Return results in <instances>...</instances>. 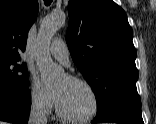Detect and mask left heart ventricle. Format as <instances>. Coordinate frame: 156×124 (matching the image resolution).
<instances>
[{
  "label": "left heart ventricle",
  "mask_w": 156,
  "mask_h": 124,
  "mask_svg": "<svg viewBox=\"0 0 156 124\" xmlns=\"http://www.w3.org/2000/svg\"><path fill=\"white\" fill-rule=\"evenodd\" d=\"M58 101L68 114L84 116L93 108V98L89 90L79 84L70 81L63 76L53 86Z\"/></svg>",
  "instance_id": "b2bd125f"
}]
</instances>
